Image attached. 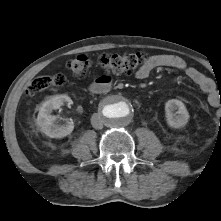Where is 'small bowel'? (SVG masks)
<instances>
[{"instance_id":"small-bowel-1","label":"small bowel","mask_w":221,"mask_h":221,"mask_svg":"<svg viewBox=\"0 0 221 221\" xmlns=\"http://www.w3.org/2000/svg\"><path fill=\"white\" fill-rule=\"evenodd\" d=\"M158 67L184 71L187 77L207 95L211 106L217 107L221 104V96L217 93L213 80L198 69L188 66L182 58L175 55L158 54L149 57L137 71L136 77L145 79Z\"/></svg>"}]
</instances>
